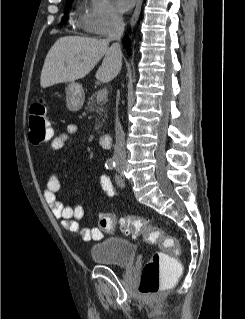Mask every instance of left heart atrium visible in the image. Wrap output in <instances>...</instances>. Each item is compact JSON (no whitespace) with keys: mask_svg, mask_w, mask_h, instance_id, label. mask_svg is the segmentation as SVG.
Returning <instances> with one entry per match:
<instances>
[{"mask_svg":"<svg viewBox=\"0 0 245 319\" xmlns=\"http://www.w3.org/2000/svg\"><path fill=\"white\" fill-rule=\"evenodd\" d=\"M135 1L136 0H116V4L121 12H127L133 7Z\"/></svg>","mask_w":245,"mask_h":319,"instance_id":"39dd6f15","label":"left heart atrium"}]
</instances>
